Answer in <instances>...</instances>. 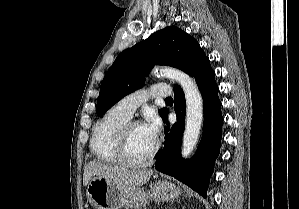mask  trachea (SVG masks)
Wrapping results in <instances>:
<instances>
[{"mask_svg": "<svg viewBox=\"0 0 299 209\" xmlns=\"http://www.w3.org/2000/svg\"><path fill=\"white\" fill-rule=\"evenodd\" d=\"M165 101H173V99L171 97H168L165 99Z\"/></svg>", "mask_w": 299, "mask_h": 209, "instance_id": "obj_1", "label": "trachea"}]
</instances>
